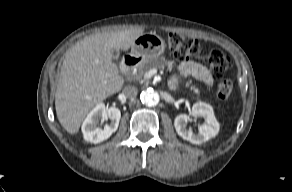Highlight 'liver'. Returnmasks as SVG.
Segmentation results:
<instances>
[{
    "instance_id": "obj_1",
    "label": "liver",
    "mask_w": 292,
    "mask_h": 192,
    "mask_svg": "<svg viewBox=\"0 0 292 192\" xmlns=\"http://www.w3.org/2000/svg\"><path fill=\"white\" fill-rule=\"evenodd\" d=\"M143 28L93 34L66 51L55 93L57 118L69 134H76L97 104L119 92L124 79L112 62V49L127 51L143 35Z\"/></svg>"
}]
</instances>
